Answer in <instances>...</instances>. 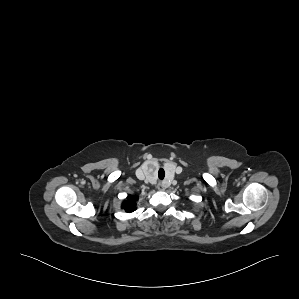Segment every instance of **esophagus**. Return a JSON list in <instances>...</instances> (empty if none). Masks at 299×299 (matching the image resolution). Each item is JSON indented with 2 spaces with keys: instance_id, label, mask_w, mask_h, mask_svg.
I'll return each instance as SVG.
<instances>
[{
  "instance_id": "1",
  "label": "esophagus",
  "mask_w": 299,
  "mask_h": 299,
  "mask_svg": "<svg viewBox=\"0 0 299 299\" xmlns=\"http://www.w3.org/2000/svg\"><path fill=\"white\" fill-rule=\"evenodd\" d=\"M157 188H158V190H160V191H164V190H165V186H164L163 183H159V184L157 185Z\"/></svg>"
}]
</instances>
